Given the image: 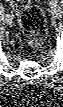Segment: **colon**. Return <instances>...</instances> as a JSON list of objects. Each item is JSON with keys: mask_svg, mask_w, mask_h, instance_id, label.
<instances>
[{"mask_svg": "<svg viewBox=\"0 0 63 107\" xmlns=\"http://www.w3.org/2000/svg\"><path fill=\"white\" fill-rule=\"evenodd\" d=\"M12 6L18 15L27 44L38 47L46 36V25L41 9L30 0H13Z\"/></svg>", "mask_w": 63, "mask_h": 107, "instance_id": "obj_1", "label": "colon"}]
</instances>
